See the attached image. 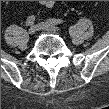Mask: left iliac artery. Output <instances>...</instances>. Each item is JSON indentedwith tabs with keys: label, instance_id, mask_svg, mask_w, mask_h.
<instances>
[{
	"label": "left iliac artery",
	"instance_id": "44dca946",
	"mask_svg": "<svg viewBox=\"0 0 109 109\" xmlns=\"http://www.w3.org/2000/svg\"><path fill=\"white\" fill-rule=\"evenodd\" d=\"M48 22L51 23V24H53V25H56V24H62L65 21L62 20V19L51 18V19L48 20Z\"/></svg>",
	"mask_w": 109,
	"mask_h": 109
}]
</instances>
